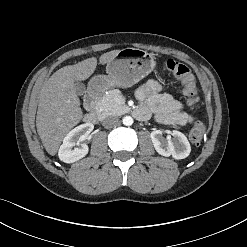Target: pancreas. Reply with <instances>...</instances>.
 I'll return each mask as SVG.
<instances>
[{"label":"pancreas","instance_id":"obj_1","mask_svg":"<svg viewBox=\"0 0 247 247\" xmlns=\"http://www.w3.org/2000/svg\"><path fill=\"white\" fill-rule=\"evenodd\" d=\"M120 96V91L117 89L109 90L98 101L96 109L101 115H119L126 108L125 105L116 101V98Z\"/></svg>","mask_w":247,"mask_h":247}]
</instances>
